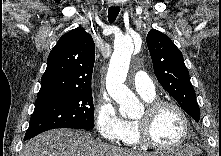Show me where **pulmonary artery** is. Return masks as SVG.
<instances>
[{"instance_id": "e3ab8cb5", "label": "pulmonary artery", "mask_w": 221, "mask_h": 156, "mask_svg": "<svg viewBox=\"0 0 221 156\" xmlns=\"http://www.w3.org/2000/svg\"><path fill=\"white\" fill-rule=\"evenodd\" d=\"M134 88L144 98H154L155 86L151 78L144 71H138L134 76Z\"/></svg>"}]
</instances>
